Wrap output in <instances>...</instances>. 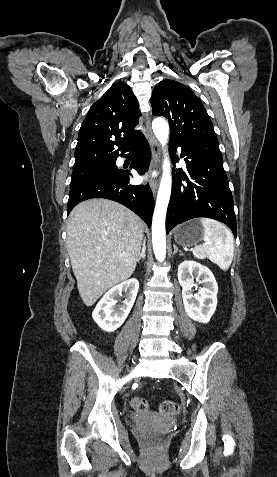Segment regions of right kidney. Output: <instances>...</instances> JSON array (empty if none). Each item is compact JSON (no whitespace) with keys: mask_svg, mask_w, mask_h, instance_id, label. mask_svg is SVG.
I'll list each match as a JSON object with an SVG mask.
<instances>
[{"mask_svg":"<svg viewBox=\"0 0 277 477\" xmlns=\"http://www.w3.org/2000/svg\"><path fill=\"white\" fill-rule=\"evenodd\" d=\"M138 289V280L131 278L105 293L92 312L94 321L102 330L113 332L124 323L134 305ZM122 292L125 294V300L122 305H117Z\"/></svg>","mask_w":277,"mask_h":477,"instance_id":"ca27d5eb","label":"right kidney"}]
</instances>
